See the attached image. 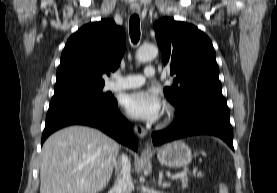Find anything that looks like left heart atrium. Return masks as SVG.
Returning <instances> with one entry per match:
<instances>
[{"instance_id": "obj_1", "label": "left heart atrium", "mask_w": 277, "mask_h": 193, "mask_svg": "<svg viewBox=\"0 0 277 193\" xmlns=\"http://www.w3.org/2000/svg\"><path fill=\"white\" fill-rule=\"evenodd\" d=\"M122 106L132 118L143 121H155L162 111V101L151 91L139 90L124 96Z\"/></svg>"}]
</instances>
